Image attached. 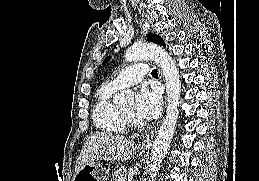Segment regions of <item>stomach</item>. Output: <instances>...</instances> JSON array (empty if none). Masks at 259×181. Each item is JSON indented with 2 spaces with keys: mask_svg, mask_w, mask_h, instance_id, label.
Segmentation results:
<instances>
[{
  "mask_svg": "<svg viewBox=\"0 0 259 181\" xmlns=\"http://www.w3.org/2000/svg\"><path fill=\"white\" fill-rule=\"evenodd\" d=\"M144 156L143 152L139 153ZM109 170L99 162H89L84 165L72 178V181H107Z\"/></svg>",
  "mask_w": 259,
  "mask_h": 181,
  "instance_id": "0dacf381",
  "label": "stomach"
}]
</instances>
